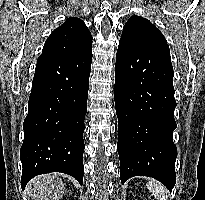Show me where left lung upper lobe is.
I'll return each instance as SVG.
<instances>
[{"instance_id":"obj_1","label":"left lung upper lobe","mask_w":205,"mask_h":200,"mask_svg":"<svg viewBox=\"0 0 205 200\" xmlns=\"http://www.w3.org/2000/svg\"><path fill=\"white\" fill-rule=\"evenodd\" d=\"M119 43L144 46L167 44V41L149 20L135 15L125 24Z\"/></svg>"}]
</instances>
